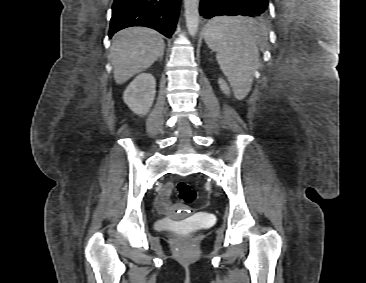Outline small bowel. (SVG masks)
Instances as JSON below:
<instances>
[{"instance_id":"1","label":"small bowel","mask_w":366,"mask_h":283,"mask_svg":"<svg viewBox=\"0 0 366 283\" xmlns=\"http://www.w3.org/2000/svg\"><path fill=\"white\" fill-rule=\"evenodd\" d=\"M172 190V183H167L160 191V200L157 205L160 210H165L169 207L168 198Z\"/></svg>"}]
</instances>
